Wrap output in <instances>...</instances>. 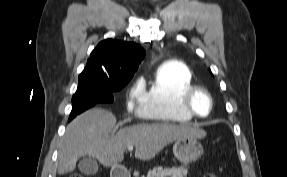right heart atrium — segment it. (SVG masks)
<instances>
[{
    "mask_svg": "<svg viewBox=\"0 0 287 177\" xmlns=\"http://www.w3.org/2000/svg\"><path fill=\"white\" fill-rule=\"evenodd\" d=\"M145 94V86L142 79L132 83L127 94V106L129 109H139Z\"/></svg>",
    "mask_w": 287,
    "mask_h": 177,
    "instance_id": "right-heart-atrium-1",
    "label": "right heart atrium"
}]
</instances>
